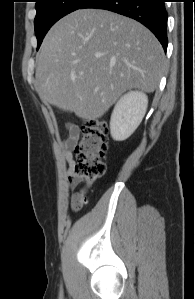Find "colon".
<instances>
[{
	"label": "colon",
	"instance_id": "obj_1",
	"mask_svg": "<svg viewBox=\"0 0 195 299\" xmlns=\"http://www.w3.org/2000/svg\"><path fill=\"white\" fill-rule=\"evenodd\" d=\"M107 126L100 120H89L82 126L74 147L76 163L73 186L78 187L72 197V208L78 210L87 202V195L96 180L106 172L108 151Z\"/></svg>",
	"mask_w": 195,
	"mask_h": 299
}]
</instances>
